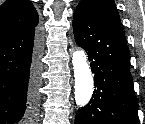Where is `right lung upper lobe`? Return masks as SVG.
Returning <instances> with one entry per match:
<instances>
[{
  "label": "right lung upper lobe",
  "mask_w": 145,
  "mask_h": 124,
  "mask_svg": "<svg viewBox=\"0 0 145 124\" xmlns=\"http://www.w3.org/2000/svg\"><path fill=\"white\" fill-rule=\"evenodd\" d=\"M38 14L28 0H7L0 6V35L17 34L38 24Z\"/></svg>",
  "instance_id": "1"
}]
</instances>
